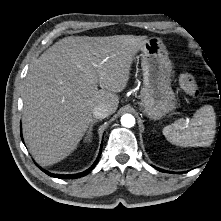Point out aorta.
Masks as SVG:
<instances>
[{"label": "aorta", "mask_w": 221, "mask_h": 221, "mask_svg": "<svg viewBox=\"0 0 221 221\" xmlns=\"http://www.w3.org/2000/svg\"><path fill=\"white\" fill-rule=\"evenodd\" d=\"M121 124L124 127L131 128L135 125V118L131 114H124L121 117Z\"/></svg>", "instance_id": "1"}]
</instances>
